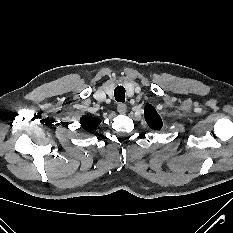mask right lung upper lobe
<instances>
[{
	"mask_svg": "<svg viewBox=\"0 0 233 233\" xmlns=\"http://www.w3.org/2000/svg\"><path fill=\"white\" fill-rule=\"evenodd\" d=\"M80 121L82 128L88 132H92L94 129H96L101 122L99 118L90 116H82Z\"/></svg>",
	"mask_w": 233,
	"mask_h": 233,
	"instance_id": "1",
	"label": "right lung upper lobe"
}]
</instances>
